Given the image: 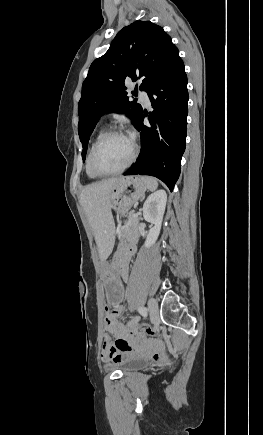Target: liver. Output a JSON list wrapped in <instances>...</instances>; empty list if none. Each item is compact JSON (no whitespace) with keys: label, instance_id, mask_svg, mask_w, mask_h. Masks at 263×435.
Returning <instances> with one entry per match:
<instances>
[{"label":"liver","instance_id":"1","mask_svg":"<svg viewBox=\"0 0 263 435\" xmlns=\"http://www.w3.org/2000/svg\"><path fill=\"white\" fill-rule=\"evenodd\" d=\"M121 178H110L86 186L80 204L94 233L101 261L111 254L115 243V224L111 212V189Z\"/></svg>","mask_w":263,"mask_h":435}]
</instances>
